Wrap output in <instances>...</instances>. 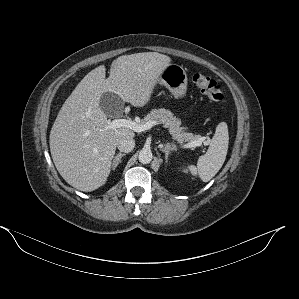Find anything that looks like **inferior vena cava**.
I'll list each match as a JSON object with an SVG mask.
<instances>
[{
  "instance_id": "1",
  "label": "inferior vena cava",
  "mask_w": 299,
  "mask_h": 299,
  "mask_svg": "<svg viewBox=\"0 0 299 299\" xmlns=\"http://www.w3.org/2000/svg\"><path fill=\"white\" fill-rule=\"evenodd\" d=\"M117 147L121 152H131L135 147V140L130 136H123L119 139Z\"/></svg>"
}]
</instances>
